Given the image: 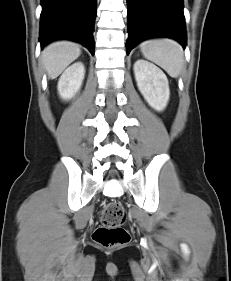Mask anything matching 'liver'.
Masks as SVG:
<instances>
[{
  "mask_svg": "<svg viewBox=\"0 0 231 281\" xmlns=\"http://www.w3.org/2000/svg\"><path fill=\"white\" fill-rule=\"evenodd\" d=\"M81 54L80 46L71 41H56L42 52V62L48 77L55 79Z\"/></svg>",
  "mask_w": 231,
  "mask_h": 281,
  "instance_id": "1",
  "label": "liver"
}]
</instances>
